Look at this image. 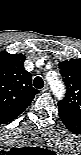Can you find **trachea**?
Here are the masks:
<instances>
[{
	"instance_id": "obj_1",
	"label": "trachea",
	"mask_w": 81,
	"mask_h": 155,
	"mask_svg": "<svg viewBox=\"0 0 81 155\" xmlns=\"http://www.w3.org/2000/svg\"><path fill=\"white\" fill-rule=\"evenodd\" d=\"M33 85L35 88L41 89L44 86V81L41 77L38 76V77L34 78Z\"/></svg>"
}]
</instances>
